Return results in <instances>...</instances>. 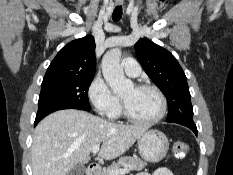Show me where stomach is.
<instances>
[{
    "label": "stomach",
    "mask_w": 233,
    "mask_h": 175,
    "mask_svg": "<svg viewBox=\"0 0 233 175\" xmlns=\"http://www.w3.org/2000/svg\"><path fill=\"white\" fill-rule=\"evenodd\" d=\"M140 156L148 162H159L167 155L169 141L166 135L156 129L146 130L138 140Z\"/></svg>",
    "instance_id": "0dacf381"
}]
</instances>
